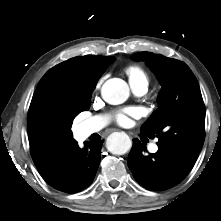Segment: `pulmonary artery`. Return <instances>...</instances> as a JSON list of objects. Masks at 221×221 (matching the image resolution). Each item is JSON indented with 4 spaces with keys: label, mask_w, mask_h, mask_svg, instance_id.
Wrapping results in <instances>:
<instances>
[{
    "label": "pulmonary artery",
    "mask_w": 221,
    "mask_h": 221,
    "mask_svg": "<svg viewBox=\"0 0 221 221\" xmlns=\"http://www.w3.org/2000/svg\"><path fill=\"white\" fill-rule=\"evenodd\" d=\"M130 86H131L133 93L137 96L144 95L148 90V82L147 81H138V82L130 81ZM107 123H108V118L106 116L100 115V116L93 117V118L89 119L87 122H85L84 132L86 134L98 132L103 127H105L107 125ZM148 149L152 153L157 152L158 151L157 143L156 142L151 143L148 146Z\"/></svg>",
    "instance_id": "1"
}]
</instances>
